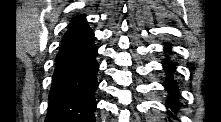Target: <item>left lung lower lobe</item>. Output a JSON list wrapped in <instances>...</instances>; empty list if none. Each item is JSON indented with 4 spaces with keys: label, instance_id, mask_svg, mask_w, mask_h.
<instances>
[{
    "label": "left lung lower lobe",
    "instance_id": "obj_1",
    "mask_svg": "<svg viewBox=\"0 0 221 122\" xmlns=\"http://www.w3.org/2000/svg\"><path fill=\"white\" fill-rule=\"evenodd\" d=\"M166 50H170V45H167ZM175 64L171 62L170 60H166L163 63L164 69L167 71V76H166V81H165V86L166 89L170 93V98L167 102V107H169L172 111H176L179 109V104L177 103V92L176 90L178 89L176 82L173 81L172 79V73L175 70Z\"/></svg>",
    "mask_w": 221,
    "mask_h": 122
}]
</instances>
